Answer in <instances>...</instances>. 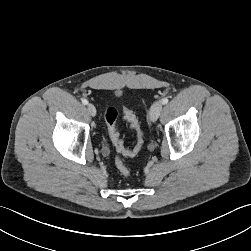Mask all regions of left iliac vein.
<instances>
[{
    "label": "left iliac vein",
    "mask_w": 251,
    "mask_h": 251,
    "mask_svg": "<svg viewBox=\"0 0 251 251\" xmlns=\"http://www.w3.org/2000/svg\"><path fill=\"white\" fill-rule=\"evenodd\" d=\"M161 111L162 103L160 101L152 105L150 109V119L152 122H155L159 118Z\"/></svg>",
    "instance_id": "4c4485c4"
}]
</instances>
